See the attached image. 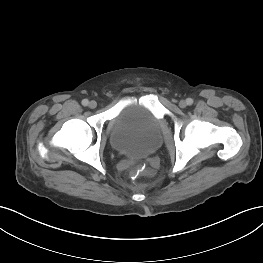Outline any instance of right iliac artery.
I'll return each instance as SVG.
<instances>
[{
  "label": "right iliac artery",
  "mask_w": 263,
  "mask_h": 263,
  "mask_svg": "<svg viewBox=\"0 0 263 263\" xmlns=\"http://www.w3.org/2000/svg\"><path fill=\"white\" fill-rule=\"evenodd\" d=\"M89 104V101L87 99L82 100V105L87 106Z\"/></svg>",
  "instance_id": "obj_1"
}]
</instances>
